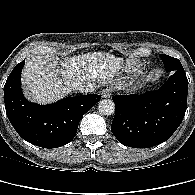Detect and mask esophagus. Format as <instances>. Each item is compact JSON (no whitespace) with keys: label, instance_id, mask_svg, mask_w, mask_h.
I'll return each mask as SVG.
<instances>
[{"label":"esophagus","instance_id":"obj_1","mask_svg":"<svg viewBox=\"0 0 195 195\" xmlns=\"http://www.w3.org/2000/svg\"><path fill=\"white\" fill-rule=\"evenodd\" d=\"M113 89L110 86L105 87L102 91H101V96L103 98H110L112 95Z\"/></svg>","mask_w":195,"mask_h":195}]
</instances>
